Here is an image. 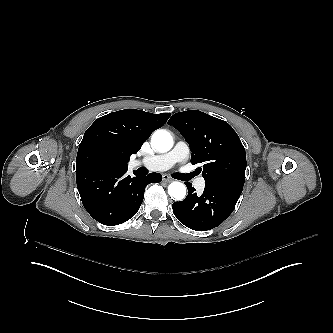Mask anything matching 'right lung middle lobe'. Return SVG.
I'll return each instance as SVG.
<instances>
[{
    "label": "right lung middle lobe",
    "instance_id": "1",
    "mask_svg": "<svg viewBox=\"0 0 333 333\" xmlns=\"http://www.w3.org/2000/svg\"><path fill=\"white\" fill-rule=\"evenodd\" d=\"M97 168H109V166L105 163L99 162L95 165Z\"/></svg>",
    "mask_w": 333,
    "mask_h": 333
}]
</instances>
